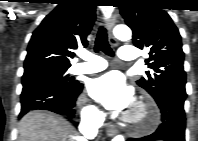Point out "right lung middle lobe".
Wrapping results in <instances>:
<instances>
[{"label":"right lung middle lobe","instance_id":"obj_1","mask_svg":"<svg viewBox=\"0 0 198 141\" xmlns=\"http://www.w3.org/2000/svg\"><path fill=\"white\" fill-rule=\"evenodd\" d=\"M68 68H40L24 72L22 76L23 86L30 84H51L62 89L75 87L78 82L73 81L66 74Z\"/></svg>","mask_w":198,"mask_h":141}]
</instances>
